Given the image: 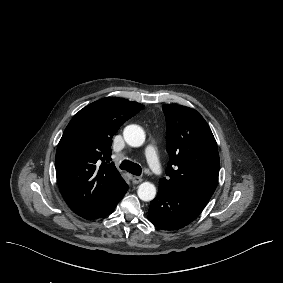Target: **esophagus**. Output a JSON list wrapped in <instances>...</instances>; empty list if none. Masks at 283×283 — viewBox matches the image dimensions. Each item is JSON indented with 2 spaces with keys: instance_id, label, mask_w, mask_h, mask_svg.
I'll return each mask as SVG.
<instances>
[{
  "instance_id": "1",
  "label": "esophagus",
  "mask_w": 283,
  "mask_h": 283,
  "mask_svg": "<svg viewBox=\"0 0 283 283\" xmlns=\"http://www.w3.org/2000/svg\"><path fill=\"white\" fill-rule=\"evenodd\" d=\"M131 181H132V183H134V184H139V183L142 182V178L139 177V176H134Z\"/></svg>"
}]
</instances>
